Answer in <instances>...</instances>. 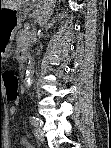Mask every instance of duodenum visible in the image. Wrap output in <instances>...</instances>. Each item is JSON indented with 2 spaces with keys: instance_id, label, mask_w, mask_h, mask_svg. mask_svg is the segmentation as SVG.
<instances>
[{
  "instance_id": "duodenum-1",
  "label": "duodenum",
  "mask_w": 111,
  "mask_h": 148,
  "mask_svg": "<svg viewBox=\"0 0 111 148\" xmlns=\"http://www.w3.org/2000/svg\"><path fill=\"white\" fill-rule=\"evenodd\" d=\"M20 61H21L22 66L24 67V65H25L26 62H27V57H26V55L20 54Z\"/></svg>"
}]
</instances>
